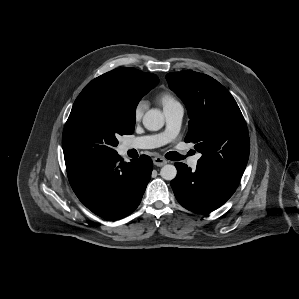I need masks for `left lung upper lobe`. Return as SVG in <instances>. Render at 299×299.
<instances>
[{"instance_id":"left-lung-upper-lobe-1","label":"left lung upper lobe","mask_w":299,"mask_h":299,"mask_svg":"<svg viewBox=\"0 0 299 299\" xmlns=\"http://www.w3.org/2000/svg\"><path fill=\"white\" fill-rule=\"evenodd\" d=\"M166 79L187 108L190 121L185 142H193L202 154L197 164L241 179L250 140L232 95L212 77L194 71L172 72Z\"/></svg>"}]
</instances>
